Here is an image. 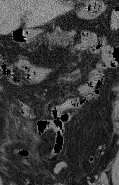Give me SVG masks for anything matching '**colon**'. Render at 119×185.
<instances>
[{"label":"colon","instance_id":"obj_1","mask_svg":"<svg viewBox=\"0 0 119 185\" xmlns=\"http://www.w3.org/2000/svg\"><path fill=\"white\" fill-rule=\"evenodd\" d=\"M110 26L112 29H117L119 26V8L116 7L110 17ZM93 160V159H91Z\"/></svg>","mask_w":119,"mask_h":185}]
</instances>
